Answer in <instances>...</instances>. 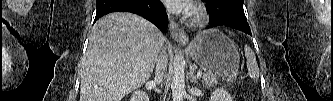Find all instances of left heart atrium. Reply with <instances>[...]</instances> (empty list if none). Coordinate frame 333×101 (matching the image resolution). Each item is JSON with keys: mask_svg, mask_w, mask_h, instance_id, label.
Masks as SVG:
<instances>
[{"mask_svg": "<svg viewBox=\"0 0 333 101\" xmlns=\"http://www.w3.org/2000/svg\"><path fill=\"white\" fill-rule=\"evenodd\" d=\"M166 5L169 10L174 12H190L192 9L190 0H168Z\"/></svg>", "mask_w": 333, "mask_h": 101, "instance_id": "1", "label": "left heart atrium"}]
</instances>
